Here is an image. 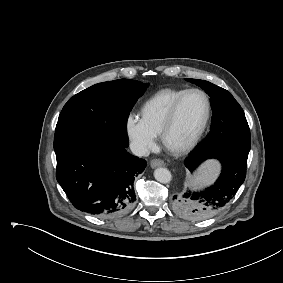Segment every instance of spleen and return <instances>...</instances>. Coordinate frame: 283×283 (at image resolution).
Instances as JSON below:
<instances>
[{
	"label": "spleen",
	"instance_id": "obj_1",
	"mask_svg": "<svg viewBox=\"0 0 283 283\" xmlns=\"http://www.w3.org/2000/svg\"><path fill=\"white\" fill-rule=\"evenodd\" d=\"M217 171V165L215 162H207L201 169V174L198 176L196 183H208L210 182Z\"/></svg>",
	"mask_w": 283,
	"mask_h": 283
}]
</instances>
